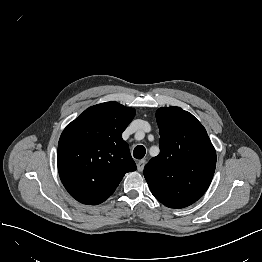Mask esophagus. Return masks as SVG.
Here are the masks:
<instances>
[{
	"mask_svg": "<svg viewBox=\"0 0 262 262\" xmlns=\"http://www.w3.org/2000/svg\"><path fill=\"white\" fill-rule=\"evenodd\" d=\"M145 163H146L145 160L138 161V163H137V170L139 172L143 171Z\"/></svg>",
	"mask_w": 262,
	"mask_h": 262,
	"instance_id": "1",
	"label": "esophagus"
}]
</instances>
